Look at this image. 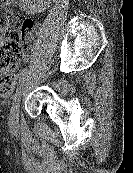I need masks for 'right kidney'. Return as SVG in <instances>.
Masks as SVG:
<instances>
[{
	"instance_id": "ca27d5eb",
	"label": "right kidney",
	"mask_w": 133,
	"mask_h": 173,
	"mask_svg": "<svg viewBox=\"0 0 133 173\" xmlns=\"http://www.w3.org/2000/svg\"><path fill=\"white\" fill-rule=\"evenodd\" d=\"M20 2V9L31 13H36L39 7L43 6V2L46 4V0H20Z\"/></svg>"
}]
</instances>
